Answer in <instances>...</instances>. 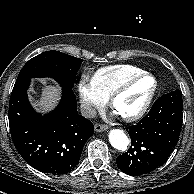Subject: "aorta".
Returning <instances> with one entry per match:
<instances>
[{
  "instance_id": "aorta-1",
  "label": "aorta",
  "mask_w": 194,
  "mask_h": 194,
  "mask_svg": "<svg viewBox=\"0 0 194 194\" xmlns=\"http://www.w3.org/2000/svg\"><path fill=\"white\" fill-rule=\"evenodd\" d=\"M109 142L115 149L125 151L130 141L123 130L112 129L109 132Z\"/></svg>"
}]
</instances>
